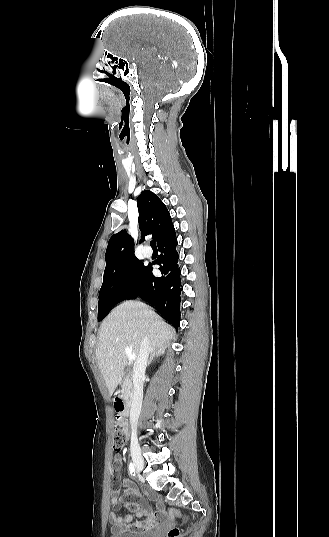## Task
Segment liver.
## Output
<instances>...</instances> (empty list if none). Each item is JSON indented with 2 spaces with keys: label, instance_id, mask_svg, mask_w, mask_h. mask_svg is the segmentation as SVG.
<instances>
[{
  "label": "liver",
  "instance_id": "1",
  "mask_svg": "<svg viewBox=\"0 0 329 537\" xmlns=\"http://www.w3.org/2000/svg\"><path fill=\"white\" fill-rule=\"evenodd\" d=\"M175 335L174 329L154 310L137 301H126L117 306L100 327L96 348L98 367L112 396L122 381L128 357L125 347L138 356L145 336L149 337L151 351L165 349Z\"/></svg>",
  "mask_w": 329,
  "mask_h": 537
}]
</instances>
